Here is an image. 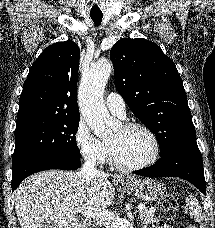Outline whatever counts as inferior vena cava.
Here are the masks:
<instances>
[{
    "label": "inferior vena cava",
    "mask_w": 215,
    "mask_h": 228,
    "mask_svg": "<svg viewBox=\"0 0 215 228\" xmlns=\"http://www.w3.org/2000/svg\"><path fill=\"white\" fill-rule=\"evenodd\" d=\"M78 176L81 178H95V176H104V172H100L96 168V158L94 156H88L87 160H85L80 172H78Z\"/></svg>",
    "instance_id": "obj_1"
}]
</instances>
